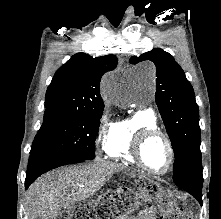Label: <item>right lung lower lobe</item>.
Listing matches in <instances>:
<instances>
[{
	"label": "right lung lower lobe",
	"mask_w": 221,
	"mask_h": 219,
	"mask_svg": "<svg viewBox=\"0 0 221 219\" xmlns=\"http://www.w3.org/2000/svg\"><path fill=\"white\" fill-rule=\"evenodd\" d=\"M30 154L25 180L26 189L37 177L51 169L85 161L65 156L47 149H37L30 152Z\"/></svg>",
	"instance_id": "1"
}]
</instances>
